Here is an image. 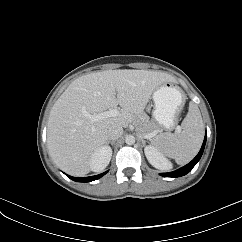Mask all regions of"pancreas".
<instances>
[{
	"mask_svg": "<svg viewBox=\"0 0 242 242\" xmlns=\"http://www.w3.org/2000/svg\"><path fill=\"white\" fill-rule=\"evenodd\" d=\"M136 130L140 136L155 135L158 131L157 125L145 116L134 122Z\"/></svg>",
	"mask_w": 242,
	"mask_h": 242,
	"instance_id": "1",
	"label": "pancreas"
}]
</instances>
